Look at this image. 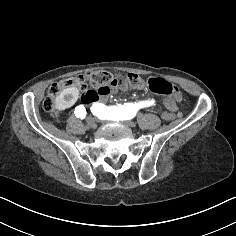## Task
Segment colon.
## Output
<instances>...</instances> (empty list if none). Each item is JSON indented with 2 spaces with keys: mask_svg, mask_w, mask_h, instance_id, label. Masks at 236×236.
<instances>
[{
  "mask_svg": "<svg viewBox=\"0 0 236 236\" xmlns=\"http://www.w3.org/2000/svg\"><path fill=\"white\" fill-rule=\"evenodd\" d=\"M144 85L143 79L134 73L121 74L113 76L106 71H89L83 75L65 79L57 83H53L49 89L46 98L43 101V108L52 116H58L55 109V97L67 87H78L82 90L81 99L84 103L90 104L105 97L111 89H129L140 88ZM148 88L159 95L170 96L172 99L180 97L178 89L161 78H150L147 82ZM162 118L167 121L175 119V114L171 112H163Z\"/></svg>",
  "mask_w": 236,
  "mask_h": 236,
  "instance_id": "obj_1",
  "label": "colon"
}]
</instances>
